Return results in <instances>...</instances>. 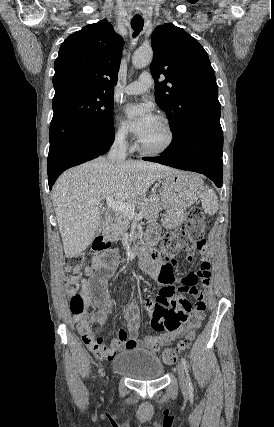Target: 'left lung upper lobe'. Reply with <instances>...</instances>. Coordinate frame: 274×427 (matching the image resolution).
Segmentation results:
<instances>
[{"label":"left lung upper lobe","mask_w":274,"mask_h":427,"mask_svg":"<svg viewBox=\"0 0 274 427\" xmlns=\"http://www.w3.org/2000/svg\"><path fill=\"white\" fill-rule=\"evenodd\" d=\"M151 39V73L154 79L165 76L156 82V102L169 119L172 143L182 141L199 125H220L218 86L200 43L171 23L156 27Z\"/></svg>","instance_id":"left-lung-upper-lobe-1"}]
</instances>
